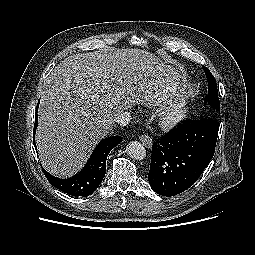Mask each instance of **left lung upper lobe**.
<instances>
[{"mask_svg": "<svg viewBox=\"0 0 255 255\" xmlns=\"http://www.w3.org/2000/svg\"><path fill=\"white\" fill-rule=\"evenodd\" d=\"M204 72L208 80V95L205 98V103H208L212 108L220 111V102L218 98L217 84L214 76L208 68L204 67Z\"/></svg>", "mask_w": 255, "mask_h": 255, "instance_id": "obj_1", "label": "left lung upper lobe"}]
</instances>
